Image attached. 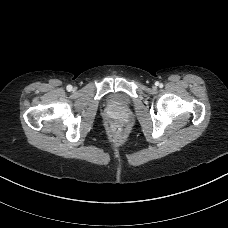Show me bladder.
Returning <instances> with one entry per match:
<instances>
[{
	"label": "bladder",
	"mask_w": 228,
	"mask_h": 228,
	"mask_svg": "<svg viewBox=\"0 0 228 228\" xmlns=\"http://www.w3.org/2000/svg\"><path fill=\"white\" fill-rule=\"evenodd\" d=\"M112 101H114L115 103L119 104V105H125L127 104L128 100L125 96L123 95H115L112 97Z\"/></svg>",
	"instance_id": "31cf9c89"
}]
</instances>
